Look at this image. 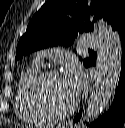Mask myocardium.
<instances>
[{"mask_svg": "<svg viewBox=\"0 0 125 128\" xmlns=\"http://www.w3.org/2000/svg\"><path fill=\"white\" fill-rule=\"evenodd\" d=\"M58 75L60 73L55 69H45L40 71L30 84L29 91L33 104L48 121H57L68 117L75 112L78 106L77 99L73 101L70 107L62 111H53L46 105L42 97V87L47 80Z\"/></svg>", "mask_w": 125, "mask_h": 128, "instance_id": "f54148a6", "label": "myocardium"}]
</instances>
